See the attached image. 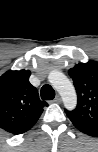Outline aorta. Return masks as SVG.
<instances>
[{
    "label": "aorta",
    "instance_id": "aorta-1",
    "mask_svg": "<svg viewBox=\"0 0 98 152\" xmlns=\"http://www.w3.org/2000/svg\"><path fill=\"white\" fill-rule=\"evenodd\" d=\"M48 80L62 97L64 106L69 110L74 109L77 104V95L71 81L57 70L49 73Z\"/></svg>",
    "mask_w": 98,
    "mask_h": 152
}]
</instances>
